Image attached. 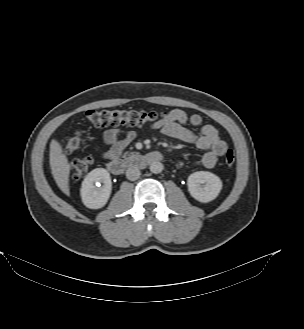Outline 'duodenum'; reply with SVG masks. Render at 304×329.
I'll list each match as a JSON object with an SVG mask.
<instances>
[{
  "label": "duodenum",
  "mask_w": 304,
  "mask_h": 329,
  "mask_svg": "<svg viewBox=\"0 0 304 329\" xmlns=\"http://www.w3.org/2000/svg\"><path fill=\"white\" fill-rule=\"evenodd\" d=\"M163 155L158 151L146 153L132 152L124 159H114L108 164L110 172L114 175H121L128 166L143 167L148 164L159 162Z\"/></svg>",
  "instance_id": "410a0bca"
}]
</instances>
